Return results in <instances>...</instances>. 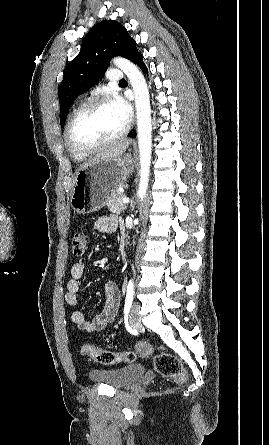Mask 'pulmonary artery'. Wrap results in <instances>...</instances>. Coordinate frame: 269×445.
<instances>
[{"mask_svg": "<svg viewBox=\"0 0 269 445\" xmlns=\"http://www.w3.org/2000/svg\"><path fill=\"white\" fill-rule=\"evenodd\" d=\"M107 78L111 82H119L123 78V73L120 70H118V69H111L107 73Z\"/></svg>", "mask_w": 269, "mask_h": 445, "instance_id": "e3ab8cb5", "label": "pulmonary artery"}]
</instances>
